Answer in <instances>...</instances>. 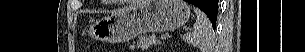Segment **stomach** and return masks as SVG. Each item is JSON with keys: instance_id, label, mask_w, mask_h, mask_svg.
I'll list each match as a JSON object with an SVG mask.
<instances>
[{"instance_id": "stomach-1", "label": "stomach", "mask_w": 305, "mask_h": 52, "mask_svg": "<svg viewBox=\"0 0 305 52\" xmlns=\"http://www.w3.org/2000/svg\"><path fill=\"white\" fill-rule=\"evenodd\" d=\"M189 18L190 6L183 0H145L90 25L88 34L95 40L118 43L142 33L178 29Z\"/></svg>"}]
</instances>
